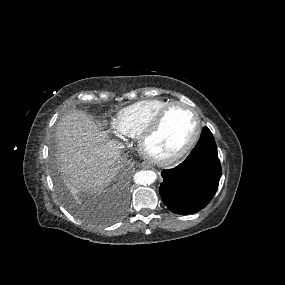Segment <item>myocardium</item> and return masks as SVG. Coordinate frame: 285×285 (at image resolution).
Here are the masks:
<instances>
[{
	"mask_svg": "<svg viewBox=\"0 0 285 285\" xmlns=\"http://www.w3.org/2000/svg\"><path fill=\"white\" fill-rule=\"evenodd\" d=\"M175 107H184L188 109L194 115L195 120H196L195 131L192 137L190 138V140L180 150H178L174 154L164 157V158L155 157L146 150V143L159 130L165 117ZM201 132H202V121H201L199 112L193 106L187 103L172 102L167 107H165L143 130V132L139 136V148H140L142 155L146 157L152 163L159 165V166H169L179 161L182 157H184L187 153L191 151V149L198 142Z\"/></svg>",
	"mask_w": 285,
	"mask_h": 285,
	"instance_id": "f54148a6",
	"label": "myocardium"
}]
</instances>
